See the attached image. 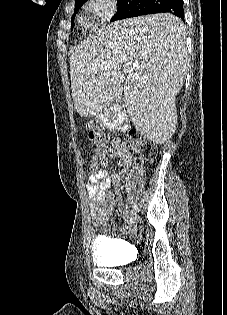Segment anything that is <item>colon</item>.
Returning <instances> with one entry per match:
<instances>
[{
  "mask_svg": "<svg viewBox=\"0 0 227 315\" xmlns=\"http://www.w3.org/2000/svg\"><path fill=\"white\" fill-rule=\"evenodd\" d=\"M85 128L89 142L98 148V153L93 158V164L97 167L101 165L104 160V156L101 152V146L104 140L103 133L91 123L86 124ZM129 144L136 154L141 158L151 160L157 154L156 145L152 141L138 134L132 133L129 135Z\"/></svg>",
  "mask_w": 227,
  "mask_h": 315,
  "instance_id": "colon-1",
  "label": "colon"
}]
</instances>
